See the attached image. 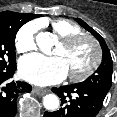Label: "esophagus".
<instances>
[{"label":"esophagus","mask_w":117,"mask_h":117,"mask_svg":"<svg viewBox=\"0 0 117 117\" xmlns=\"http://www.w3.org/2000/svg\"><path fill=\"white\" fill-rule=\"evenodd\" d=\"M33 92L41 96L45 95L48 92V90L43 88L33 87Z\"/></svg>","instance_id":"obj_1"}]
</instances>
